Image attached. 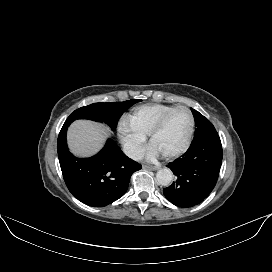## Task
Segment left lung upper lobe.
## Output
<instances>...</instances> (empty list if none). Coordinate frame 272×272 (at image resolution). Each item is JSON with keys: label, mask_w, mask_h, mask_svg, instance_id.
<instances>
[{"label": "left lung upper lobe", "mask_w": 272, "mask_h": 272, "mask_svg": "<svg viewBox=\"0 0 272 272\" xmlns=\"http://www.w3.org/2000/svg\"><path fill=\"white\" fill-rule=\"evenodd\" d=\"M191 111L193 113V116L195 119V126H196L192 143L202 140L203 138L208 137L214 133H217L213 124L208 119H206L198 111L192 108H191Z\"/></svg>", "instance_id": "5c2ea615"}]
</instances>
